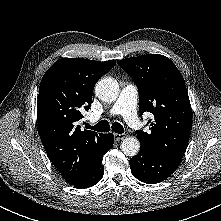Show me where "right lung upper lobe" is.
I'll return each instance as SVG.
<instances>
[{
  "mask_svg": "<svg viewBox=\"0 0 221 221\" xmlns=\"http://www.w3.org/2000/svg\"><path fill=\"white\" fill-rule=\"evenodd\" d=\"M115 60L62 58L44 74L37 102L38 129L53 165L70 184L84 178L97 162L105 134L78 125L91 107L93 89Z\"/></svg>",
  "mask_w": 221,
  "mask_h": 221,
  "instance_id": "obj_1",
  "label": "right lung upper lobe"
}]
</instances>
